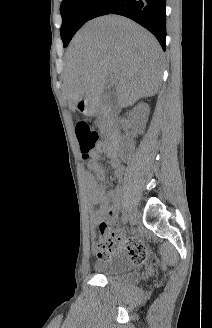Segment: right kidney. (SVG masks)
<instances>
[{
	"mask_svg": "<svg viewBox=\"0 0 212 328\" xmlns=\"http://www.w3.org/2000/svg\"><path fill=\"white\" fill-rule=\"evenodd\" d=\"M149 112V105L141 102L129 113V120L139 133H143V130L145 129Z\"/></svg>",
	"mask_w": 212,
	"mask_h": 328,
	"instance_id": "right-kidney-1",
	"label": "right kidney"
}]
</instances>
